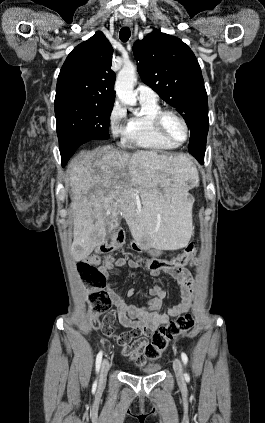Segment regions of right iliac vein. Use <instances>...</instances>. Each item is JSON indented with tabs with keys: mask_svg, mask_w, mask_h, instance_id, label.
<instances>
[{
	"mask_svg": "<svg viewBox=\"0 0 265 423\" xmlns=\"http://www.w3.org/2000/svg\"><path fill=\"white\" fill-rule=\"evenodd\" d=\"M109 368H110L109 361L107 359H105L102 362V366H101V372H100V379H101V381H103L104 378L106 377V375H107V373L109 371Z\"/></svg>",
	"mask_w": 265,
	"mask_h": 423,
	"instance_id": "1",
	"label": "right iliac vein"
}]
</instances>
